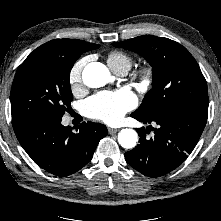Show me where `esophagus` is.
Here are the masks:
<instances>
[{
    "instance_id": "obj_1",
    "label": "esophagus",
    "mask_w": 221,
    "mask_h": 221,
    "mask_svg": "<svg viewBox=\"0 0 221 221\" xmlns=\"http://www.w3.org/2000/svg\"><path fill=\"white\" fill-rule=\"evenodd\" d=\"M119 129H116V128H108V132L110 134H113V133H116Z\"/></svg>"
}]
</instances>
